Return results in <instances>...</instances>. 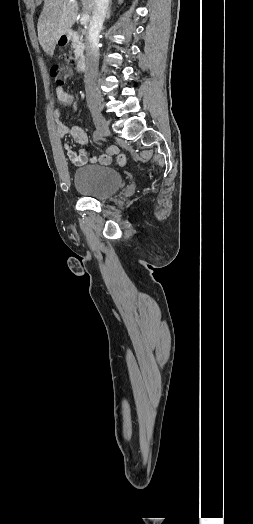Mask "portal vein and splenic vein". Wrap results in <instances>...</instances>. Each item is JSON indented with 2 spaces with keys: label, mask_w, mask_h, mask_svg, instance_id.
I'll return each mask as SVG.
<instances>
[{
  "label": "portal vein and splenic vein",
  "mask_w": 253,
  "mask_h": 524,
  "mask_svg": "<svg viewBox=\"0 0 253 524\" xmlns=\"http://www.w3.org/2000/svg\"><path fill=\"white\" fill-rule=\"evenodd\" d=\"M89 18H90L89 14H83L81 19H80V23L82 25H86L88 23V21H89Z\"/></svg>",
  "instance_id": "portal-vein-and-splenic-vein-1"
}]
</instances>
